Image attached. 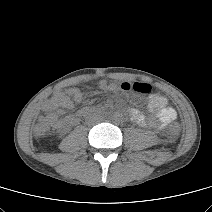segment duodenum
Segmentation results:
<instances>
[{
	"label": "duodenum",
	"mask_w": 212,
	"mask_h": 212,
	"mask_svg": "<svg viewBox=\"0 0 212 212\" xmlns=\"http://www.w3.org/2000/svg\"><path fill=\"white\" fill-rule=\"evenodd\" d=\"M89 112H90L89 108H84V109L81 110L82 115L88 114Z\"/></svg>",
	"instance_id": "obj_1"
}]
</instances>
